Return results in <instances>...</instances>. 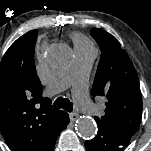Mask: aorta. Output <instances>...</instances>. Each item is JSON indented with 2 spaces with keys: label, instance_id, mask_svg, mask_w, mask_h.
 Listing matches in <instances>:
<instances>
[{
  "label": "aorta",
  "instance_id": "1",
  "mask_svg": "<svg viewBox=\"0 0 151 151\" xmlns=\"http://www.w3.org/2000/svg\"><path fill=\"white\" fill-rule=\"evenodd\" d=\"M72 51L66 45H53L47 50L45 58L53 67H61L72 60ZM76 130L85 139L93 137L97 132L96 122L89 117H82L77 121Z\"/></svg>",
  "mask_w": 151,
  "mask_h": 151
}]
</instances>
